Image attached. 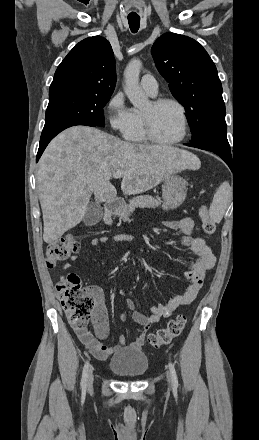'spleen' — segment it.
<instances>
[{
    "label": "spleen",
    "instance_id": "1",
    "mask_svg": "<svg viewBox=\"0 0 259 440\" xmlns=\"http://www.w3.org/2000/svg\"><path fill=\"white\" fill-rule=\"evenodd\" d=\"M232 196V189L227 181L223 182L214 194L212 204L209 209L211 219L220 223Z\"/></svg>",
    "mask_w": 259,
    "mask_h": 440
}]
</instances>
